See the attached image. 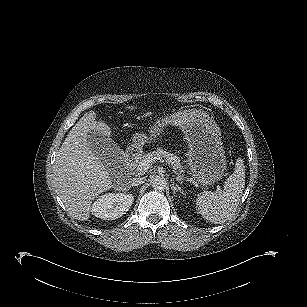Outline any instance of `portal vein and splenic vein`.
<instances>
[{"label": "portal vein and splenic vein", "mask_w": 307, "mask_h": 307, "mask_svg": "<svg viewBox=\"0 0 307 307\" xmlns=\"http://www.w3.org/2000/svg\"><path fill=\"white\" fill-rule=\"evenodd\" d=\"M153 160L149 159V158H145L143 160H141L138 165H137V170L139 172H143L146 171L150 168V166L152 165Z\"/></svg>", "instance_id": "portal-vein-and-splenic-vein-1"}]
</instances>
